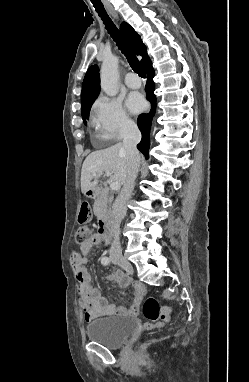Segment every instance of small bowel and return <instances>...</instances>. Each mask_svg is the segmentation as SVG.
Masks as SVG:
<instances>
[{"label": "small bowel", "mask_w": 249, "mask_h": 382, "mask_svg": "<svg viewBox=\"0 0 249 382\" xmlns=\"http://www.w3.org/2000/svg\"><path fill=\"white\" fill-rule=\"evenodd\" d=\"M101 243L108 244L109 240L100 232L91 233L89 240L80 245L79 252H74L71 255V263L78 282L79 302L83 319L86 322H92L96 318L136 313L140 299L145 292L143 284L132 283L134 299L129 308L111 305L105 297L101 296L100 290L92 284L91 274L86 266L89 253ZM106 279L113 280L120 286H126L130 283L129 279L117 270L112 271Z\"/></svg>", "instance_id": "obj_1"}]
</instances>
